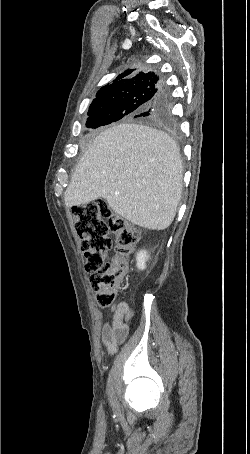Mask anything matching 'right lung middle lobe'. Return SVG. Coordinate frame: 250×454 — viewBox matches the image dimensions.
Instances as JSON below:
<instances>
[{
  "label": "right lung middle lobe",
  "instance_id": "obj_1",
  "mask_svg": "<svg viewBox=\"0 0 250 454\" xmlns=\"http://www.w3.org/2000/svg\"><path fill=\"white\" fill-rule=\"evenodd\" d=\"M161 86L141 85L118 97H107L92 102L89 107L87 128H98L123 118H133L154 124H168L154 115L144 114L158 96Z\"/></svg>",
  "mask_w": 250,
  "mask_h": 454
}]
</instances>
